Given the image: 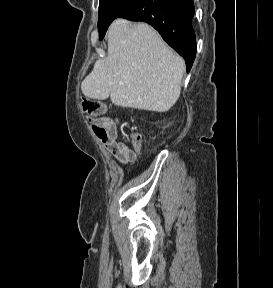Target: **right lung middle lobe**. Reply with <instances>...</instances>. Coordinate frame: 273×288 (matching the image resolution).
Wrapping results in <instances>:
<instances>
[{
  "instance_id": "right-lung-middle-lobe-1",
  "label": "right lung middle lobe",
  "mask_w": 273,
  "mask_h": 288,
  "mask_svg": "<svg viewBox=\"0 0 273 288\" xmlns=\"http://www.w3.org/2000/svg\"><path fill=\"white\" fill-rule=\"evenodd\" d=\"M137 0H100L98 29L102 40L111 22L120 17Z\"/></svg>"
}]
</instances>
